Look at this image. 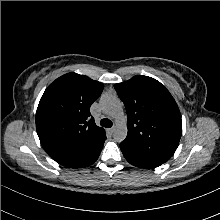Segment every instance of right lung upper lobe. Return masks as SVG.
Segmentation results:
<instances>
[{"instance_id":"right-lung-upper-lobe-1","label":"right lung upper lobe","mask_w":220,"mask_h":220,"mask_svg":"<svg viewBox=\"0 0 220 220\" xmlns=\"http://www.w3.org/2000/svg\"><path fill=\"white\" fill-rule=\"evenodd\" d=\"M103 87L85 75L67 73L42 95L36 112L37 133L44 150L59 164L89 166L103 147L105 131L90 113Z\"/></svg>"}]
</instances>
